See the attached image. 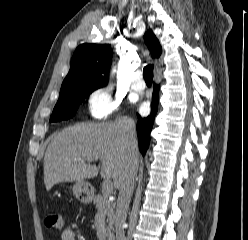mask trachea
Instances as JSON below:
<instances>
[{"label":"trachea","instance_id":"obj_1","mask_svg":"<svg viewBox=\"0 0 248 240\" xmlns=\"http://www.w3.org/2000/svg\"><path fill=\"white\" fill-rule=\"evenodd\" d=\"M143 76L147 84H151L153 80V65H147L143 69Z\"/></svg>","mask_w":248,"mask_h":240}]
</instances>
